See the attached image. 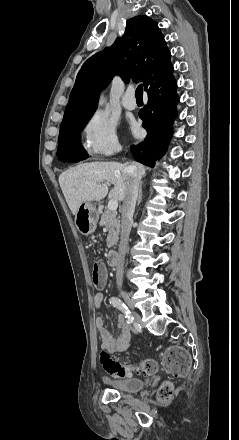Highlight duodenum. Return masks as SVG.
I'll return each mask as SVG.
<instances>
[{
  "label": "duodenum",
  "mask_w": 239,
  "mask_h": 440,
  "mask_svg": "<svg viewBox=\"0 0 239 440\" xmlns=\"http://www.w3.org/2000/svg\"><path fill=\"white\" fill-rule=\"evenodd\" d=\"M107 262L111 267H116L120 263V256L117 251H110L107 255Z\"/></svg>",
  "instance_id": "410a0bca"
}]
</instances>
